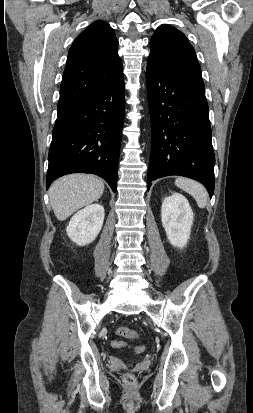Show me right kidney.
<instances>
[{"label": "right kidney", "mask_w": 253, "mask_h": 413, "mask_svg": "<svg viewBox=\"0 0 253 413\" xmlns=\"http://www.w3.org/2000/svg\"><path fill=\"white\" fill-rule=\"evenodd\" d=\"M104 207L91 204L78 211L66 228L67 235L79 246L93 242L98 236L104 222Z\"/></svg>", "instance_id": "ca27d5eb"}]
</instances>
